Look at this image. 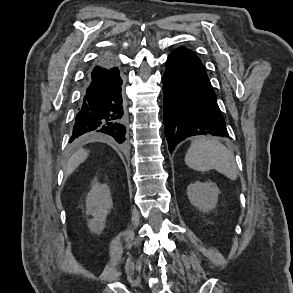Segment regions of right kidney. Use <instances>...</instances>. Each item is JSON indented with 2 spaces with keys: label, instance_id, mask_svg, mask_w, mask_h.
Here are the masks:
<instances>
[{
  "label": "right kidney",
  "instance_id": "ca27d5eb",
  "mask_svg": "<svg viewBox=\"0 0 293 293\" xmlns=\"http://www.w3.org/2000/svg\"><path fill=\"white\" fill-rule=\"evenodd\" d=\"M112 206L113 202L108 186L94 181L86 197V215L93 216V219L88 220L91 232L99 234L103 231L107 214Z\"/></svg>",
  "mask_w": 293,
  "mask_h": 293
}]
</instances>
